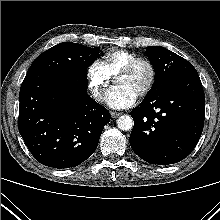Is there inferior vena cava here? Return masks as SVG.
<instances>
[{
  "mask_svg": "<svg viewBox=\"0 0 220 220\" xmlns=\"http://www.w3.org/2000/svg\"><path fill=\"white\" fill-rule=\"evenodd\" d=\"M93 96H94L95 99L98 100V101H100V100L103 98V96H102V94H101L100 92H94V93H93Z\"/></svg>",
  "mask_w": 220,
  "mask_h": 220,
  "instance_id": "obj_1",
  "label": "inferior vena cava"
}]
</instances>
